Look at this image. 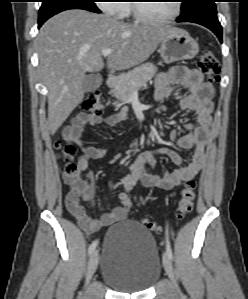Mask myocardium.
<instances>
[{
	"label": "myocardium",
	"mask_w": 248,
	"mask_h": 299,
	"mask_svg": "<svg viewBox=\"0 0 248 299\" xmlns=\"http://www.w3.org/2000/svg\"><path fill=\"white\" fill-rule=\"evenodd\" d=\"M181 1L174 0V10L172 14L163 18H154L146 15L140 8V3L133 4V13L136 19L146 24H164L175 20L181 13Z\"/></svg>",
	"instance_id": "myocardium-1"
}]
</instances>
